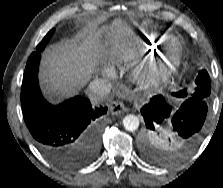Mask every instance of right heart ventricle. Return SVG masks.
<instances>
[{
    "label": "right heart ventricle",
    "instance_id": "e07e8e85",
    "mask_svg": "<svg viewBox=\"0 0 223 188\" xmlns=\"http://www.w3.org/2000/svg\"><path fill=\"white\" fill-rule=\"evenodd\" d=\"M165 36V34L159 32L146 33L144 35L145 50H150V52L157 51L165 40Z\"/></svg>",
    "mask_w": 223,
    "mask_h": 188
}]
</instances>
